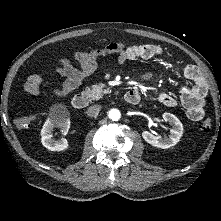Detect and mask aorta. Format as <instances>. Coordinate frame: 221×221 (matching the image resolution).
<instances>
[{
	"instance_id": "1",
	"label": "aorta",
	"mask_w": 221,
	"mask_h": 221,
	"mask_svg": "<svg viewBox=\"0 0 221 221\" xmlns=\"http://www.w3.org/2000/svg\"><path fill=\"white\" fill-rule=\"evenodd\" d=\"M109 118L113 121H118L121 117L120 111L117 109H111L108 114Z\"/></svg>"
}]
</instances>
